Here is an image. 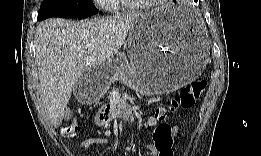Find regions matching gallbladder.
<instances>
[{"instance_id": "obj_1", "label": "gallbladder", "mask_w": 261, "mask_h": 156, "mask_svg": "<svg viewBox=\"0 0 261 156\" xmlns=\"http://www.w3.org/2000/svg\"><path fill=\"white\" fill-rule=\"evenodd\" d=\"M68 107H71V106H68ZM71 116H72V113L70 111H66L65 120H70Z\"/></svg>"}]
</instances>
